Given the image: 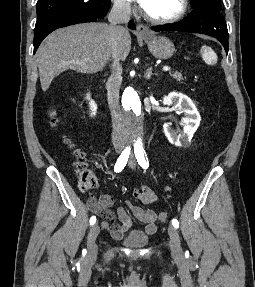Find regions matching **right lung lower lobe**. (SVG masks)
Listing matches in <instances>:
<instances>
[{
    "label": "right lung lower lobe",
    "mask_w": 255,
    "mask_h": 287,
    "mask_svg": "<svg viewBox=\"0 0 255 287\" xmlns=\"http://www.w3.org/2000/svg\"><path fill=\"white\" fill-rule=\"evenodd\" d=\"M98 17L84 11H68L51 15L38 20L34 29V53L42 40L55 29L84 22H96ZM129 28L135 29V24L130 21Z\"/></svg>",
    "instance_id": "obj_1"
}]
</instances>
